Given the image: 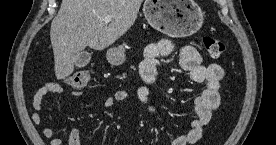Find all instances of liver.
Returning <instances> with one entry per match:
<instances>
[{"label": "liver", "mask_w": 276, "mask_h": 145, "mask_svg": "<svg viewBox=\"0 0 276 145\" xmlns=\"http://www.w3.org/2000/svg\"><path fill=\"white\" fill-rule=\"evenodd\" d=\"M143 0H62L53 19L50 40L58 80L74 71L75 62L87 46L103 50L125 34L137 19ZM112 16L108 26L102 19Z\"/></svg>", "instance_id": "obj_1"}]
</instances>
